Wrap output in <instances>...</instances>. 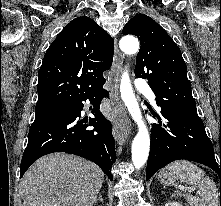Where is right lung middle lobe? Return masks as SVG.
I'll use <instances>...</instances> for the list:
<instances>
[{
    "label": "right lung middle lobe",
    "instance_id": "1",
    "mask_svg": "<svg viewBox=\"0 0 221 206\" xmlns=\"http://www.w3.org/2000/svg\"><path fill=\"white\" fill-rule=\"evenodd\" d=\"M69 105L66 106H53V107H38L35 108L36 111V117L37 116H41V115H45V114H49V113H54L60 110H63L65 108H67Z\"/></svg>",
    "mask_w": 221,
    "mask_h": 206
}]
</instances>
